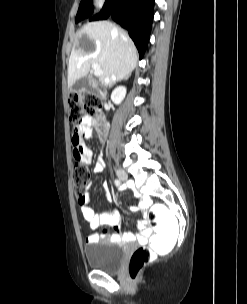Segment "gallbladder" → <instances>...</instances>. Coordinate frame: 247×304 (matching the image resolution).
I'll use <instances>...</instances> for the list:
<instances>
[{"mask_svg":"<svg viewBox=\"0 0 247 304\" xmlns=\"http://www.w3.org/2000/svg\"><path fill=\"white\" fill-rule=\"evenodd\" d=\"M90 89L88 77H81L73 84L71 91L73 93H80Z\"/></svg>","mask_w":247,"mask_h":304,"instance_id":"obj_1","label":"gallbladder"}]
</instances>
